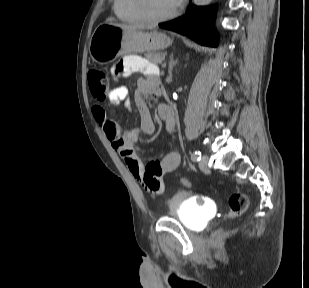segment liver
I'll use <instances>...</instances> for the list:
<instances>
[{"instance_id":"6515ba94","label":"liver","mask_w":309,"mask_h":288,"mask_svg":"<svg viewBox=\"0 0 309 288\" xmlns=\"http://www.w3.org/2000/svg\"><path fill=\"white\" fill-rule=\"evenodd\" d=\"M118 25V24H114ZM120 27L126 28V29H143L144 27L141 25H118Z\"/></svg>"}]
</instances>
